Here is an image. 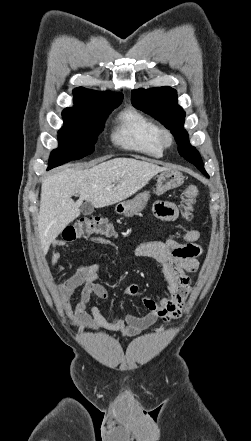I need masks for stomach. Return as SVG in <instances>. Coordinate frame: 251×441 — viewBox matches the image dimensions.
<instances>
[{"mask_svg": "<svg viewBox=\"0 0 251 441\" xmlns=\"http://www.w3.org/2000/svg\"><path fill=\"white\" fill-rule=\"evenodd\" d=\"M183 183L184 176L180 171L176 169H167L158 176L155 193L161 195L168 190L180 187ZM149 197V192L144 191L131 200L119 202L115 207V211L126 217H132L145 208Z\"/></svg>", "mask_w": 251, "mask_h": 441, "instance_id": "1", "label": "stomach"}]
</instances>
